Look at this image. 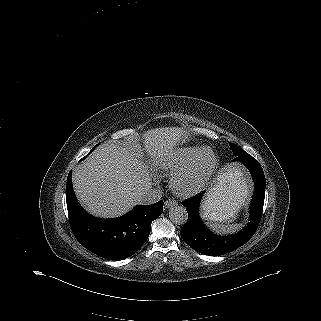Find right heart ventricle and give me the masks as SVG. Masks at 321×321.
<instances>
[{
  "instance_id": "1",
  "label": "right heart ventricle",
  "mask_w": 321,
  "mask_h": 321,
  "mask_svg": "<svg viewBox=\"0 0 321 321\" xmlns=\"http://www.w3.org/2000/svg\"><path fill=\"white\" fill-rule=\"evenodd\" d=\"M199 149V147H186L166 153L156 161V168L166 173H175L185 168Z\"/></svg>"
}]
</instances>
